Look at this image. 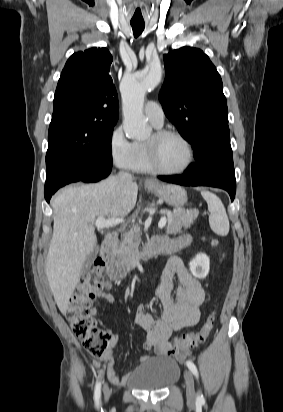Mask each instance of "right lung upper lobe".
<instances>
[{"label":"right lung upper lobe","mask_w":283,"mask_h":412,"mask_svg":"<svg viewBox=\"0 0 283 412\" xmlns=\"http://www.w3.org/2000/svg\"><path fill=\"white\" fill-rule=\"evenodd\" d=\"M106 48L74 53L66 62L54 96L53 116L77 113L114 127L119 115L117 92Z\"/></svg>","instance_id":"1"}]
</instances>
